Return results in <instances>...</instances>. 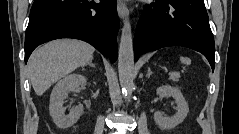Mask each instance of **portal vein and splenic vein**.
<instances>
[{
	"label": "portal vein and splenic vein",
	"mask_w": 239,
	"mask_h": 134,
	"mask_svg": "<svg viewBox=\"0 0 239 134\" xmlns=\"http://www.w3.org/2000/svg\"><path fill=\"white\" fill-rule=\"evenodd\" d=\"M170 75H172L173 73L172 72H169Z\"/></svg>",
	"instance_id": "portal-vein-and-splenic-vein-1"
}]
</instances>
